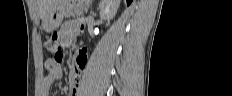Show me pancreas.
Here are the masks:
<instances>
[{"instance_id":"1","label":"pancreas","mask_w":232,"mask_h":96,"mask_svg":"<svg viewBox=\"0 0 232 96\" xmlns=\"http://www.w3.org/2000/svg\"><path fill=\"white\" fill-rule=\"evenodd\" d=\"M86 10V6L82 2H80L78 5L73 6L70 10L66 12V17L79 16Z\"/></svg>"}]
</instances>
